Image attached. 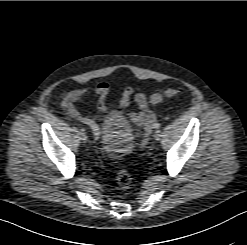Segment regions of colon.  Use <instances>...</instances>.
Segmentation results:
<instances>
[{"mask_svg":"<svg viewBox=\"0 0 247 245\" xmlns=\"http://www.w3.org/2000/svg\"><path fill=\"white\" fill-rule=\"evenodd\" d=\"M180 92L177 88H168L163 93H155L150 97V101L154 105L162 103L165 99L173 97ZM119 187L123 190L130 188L132 178L130 173L126 169H121L116 177Z\"/></svg>","mask_w":247,"mask_h":245,"instance_id":"5ec220e1","label":"colon"}]
</instances>
